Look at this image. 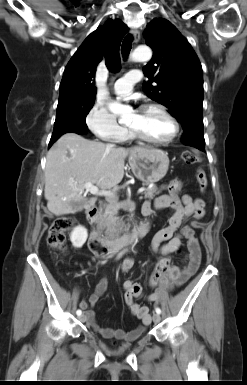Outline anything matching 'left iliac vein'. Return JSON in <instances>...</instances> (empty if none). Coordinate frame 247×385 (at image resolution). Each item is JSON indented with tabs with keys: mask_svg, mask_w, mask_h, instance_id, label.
Returning <instances> with one entry per match:
<instances>
[{
	"mask_svg": "<svg viewBox=\"0 0 247 385\" xmlns=\"http://www.w3.org/2000/svg\"><path fill=\"white\" fill-rule=\"evenodd\" d=\"M160 320H161V317H160V315L158 313L153 315V322L154 323H159Z\"/></svg>",
	"mask_w": 247,
	"mask_h": 385,
	"instance_id": "4c4485c4",
	"label": "left iliac vein"
}]
</instances>
